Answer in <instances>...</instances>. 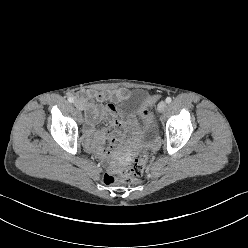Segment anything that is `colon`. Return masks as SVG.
<instances>
[{
	"mask_svg": "<svg viewBox=\"0 0 248 248\" xmlns=\"http://www.w3.org/2000/svg\"><path fill=\"white\" fill-rule=\"evenodd\" d=\"M158 99V96L151 97L147 100V107L154 104ZM145 108L142 112V117L146 123H148L152 117L148 108ZM149 157V152L143 150L141 155L135 159L129 168L122 169L119 171L110 170L106 172L103 176V182L107 185L114 184L116 182L124 183H135L143 175L147 161Z\"/></svg>",
	"mask_w": 248,
	"mask_h": 248,
	"instance_id": "1",
	"label": "colon"
}]
</instances>
